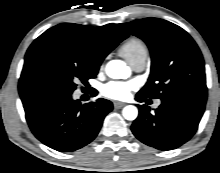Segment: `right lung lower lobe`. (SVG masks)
<instances>
[{
	"label": "right lung lower lobe",
	"instance_id": "obj_1",
	"mask_svg": "<svg viewBox=\"0 0 220 173\" xmlns=\"http://www.w3.org/2000/svg\"><path fill=\"white\" fill-rule=\"evenodd\" d=\"M71 94L38 90L21 96L32 133L46 146L61 152L75 151L90 143L113 109L106 99L81 105Z\"/></svg>",
	"mask_w": 220,
	"mask_h": 173
}]
</instances>
